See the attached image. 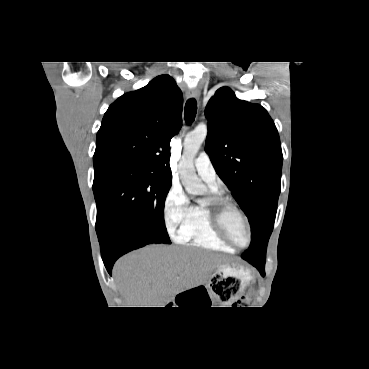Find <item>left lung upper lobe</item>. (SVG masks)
Masks as SVG:
<instances>
[{
    "label": "left lung upper lobe",
    "instance_id": "5c2ea615",
    "mask_svg": "<svg viewBox=\"0 0 369 369\" xmlns=\"http://www.w3.org/2000/svg\"><path fill=\"white\" fill-rule=\"evenodd\" d=\"M205 116L206 152L251 226V244L241 257L265 261L283 161L276 126L261 105L238 99L228 87L211 97Z\"/></svg>",
    "mask_w": 369,
    "mask_h": 369
}]
</instances>
